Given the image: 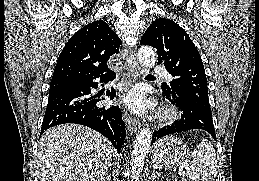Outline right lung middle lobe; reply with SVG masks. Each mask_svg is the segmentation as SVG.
<instances>
[{
  "label": "right lung middle lobe",
  "mask_w": 259,
  "mask_h": 181,
  "mask_svg": "<svg viewBox=\"0 0 259 181\" xmlns=\"http://www.w3.org/2000/svg\"><path fill=\"white\" fill-rule=\"evenodd\" d=\"M56 87H57V85H50V90H49V92L52 91V90H54Z\"/></svg>",
  "instance_id": "1"
}]
</instances>
